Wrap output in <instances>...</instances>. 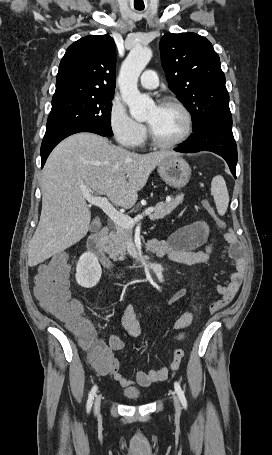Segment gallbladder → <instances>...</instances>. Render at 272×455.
Returning a JSON list of instances; mask_svg holds the SVG:
<instances>
[{"label": "gallbladder", "instance_id": "bac80fb5", "mask_svg": "<svg viewBox=\"0 0 272 455\" xmlns=\"http://www.w3.org/2000/svg\"><path fill=\"white\" fill-rule=\"evenodd\" d=\"M100 228H101V223H100L99 221L93 222V223L91 224V226H90V230H91L92 232H97V231L100 230Z\"/></svg>", "mask_w": 272, "mask_h": 455}]
</instances>
